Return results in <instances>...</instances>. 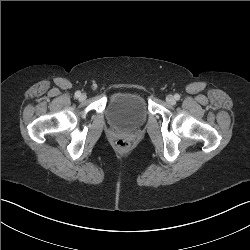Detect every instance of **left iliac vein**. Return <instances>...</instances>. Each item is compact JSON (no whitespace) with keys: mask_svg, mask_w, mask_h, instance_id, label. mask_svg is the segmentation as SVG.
I'll return each instance as SVG.
<instances>
[{"mask_svg":"<svg viewBox=\"0 0 250 250\" xmlns=\"http://www.w3.org/2000/svg\"><path fill=\"white\" fill-rule=\"evenodd\" d=\"M166 102L171 104V105H174L176 103L175 98L172 95H168L166 97Z\"/></svg>","mask_w":250,"mask_h":250,"instance_id":"1","label":"left iliac vein"}]
</instances>
